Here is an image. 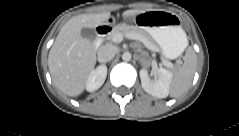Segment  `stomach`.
Listing matches in <instances>:
<instances>
[{
  "mask_svg": "<svg viewBox=\"0 0 239 136\" xmlns=\"http://www.w3.org/2000/svg\"><path fill=\"white\" fill-rule=\"evenodd\" d=\"M134 18L138 28L158 44L164 58H177L187 46L186 34L174 14L149 11L140 13Z\"/></svg>",
  "mask_w": 239,
  "mask_h": 136,
  "instance_id": "obj_1",
  "label": "stomach"
}]
</instances>
